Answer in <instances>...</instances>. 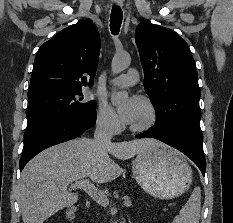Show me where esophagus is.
I'll return each mask as SVG.
<instances>
[{"label": "esophagus", "mask_w": 233, "mask_h": 223, "mask_svg": "<svg viewBox=\"0 0 233 223\" xmlns=\"http://www.w3.org/2000/svg\"><path fill=\"white\" fill-rule=\"evenodd\" d=\"M115 3H116V5L121 6L123 2H122V0H115Z\"/></svg>", "instance_id": "esophagus-1"}]
</instances>
